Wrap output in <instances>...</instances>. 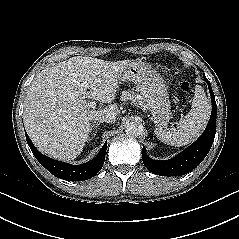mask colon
Here are the masks:
<instances>
[{
	"label": "colon",
	"mask_w": 239,
	"mask_h": 239,
	"mask_svg": "<svg viewBox=\"0 0 239 239\" xmlns=\"http://www.w3.org/2000/svg\"><path fill=\"white\" fill-rule=\"evenodd\" d=\"M181 90H182L183 92H186V93L190 92V90H191L190 84L187 83V82L182 83V84H181Z\"/></svg>",
	"instance_id": "5ec220e1"
}]
</instances>
